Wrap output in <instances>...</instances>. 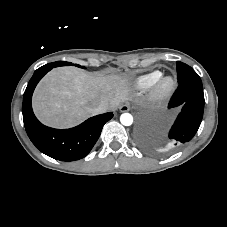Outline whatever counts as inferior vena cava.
I'll list each match as a JSON object with an SVG mask.
<instances>
[{"label":"inferior vena cava","instance_id":"1","mask_svg":"<svg viewBox=\"0 0 227 227\" xmlns=\"http://www.w3.org/2000/svg\"><path fill=\"white\" fill-rule=\"evenodd\" d=\"M108 108H109L108 103L102 101L93 107V112H94V114L104 113L108 110Z\"/></svg>","mask_w":227,"mask_h":227}]
</instances>
